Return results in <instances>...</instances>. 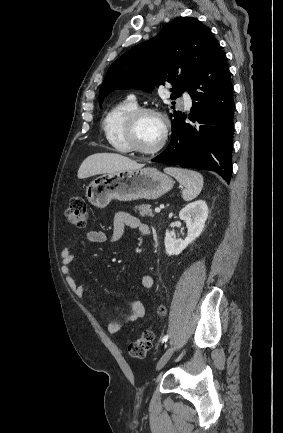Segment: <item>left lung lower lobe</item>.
<instances>
[{"instance_id": "obj_1", "label": "left lung lower lobe", "mask_w": 283, "mask_h": 433, "mask_svg": "<svg viewBox=\"0 0 283 433\" xmlns=\"http://www.w3.org/2000/svg\"><path fill=\"white\" fill-rule=\"evenodd\" d=\"M186 90L193 100L191 113H181L173 120L168 147L152 161L211 170L229 183L235 106L225 54L218 43L200 63Z\"/></svg>"}]
</instances>
